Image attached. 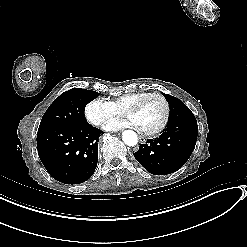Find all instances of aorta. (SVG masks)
Here are the masks:
<instances>
[{
	"mask_svg": "<svg viewBox=\"0 0 247 247\" xmlns=\"http://www.w3.org/2000/svg\"><path fill=\"white\" fill-rule=\"evenodd\" d=\"M124 143L128 146H135L138 143L137 134L132 130H126L122 134Z\"/></svg>",
	"mask_w": 247,
	"mask_h": 247,
	"instance_id": "aorta-1",
	"label": "aorta"
}]
</instances>
